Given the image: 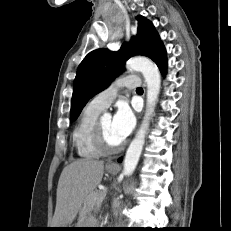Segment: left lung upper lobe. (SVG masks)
Here are the masks:
<instances>
[{
    "instance_id": "obj_1",
    "label": "left lung upper lobe",
    "mask_w": 231,
    "mask_h": 231,
    "mask_svg": "<svg viewBox=\"0 0 231 231\" xmlns=\"http://www.w3.org/2000/svg\"><path fill=\"white\" fill-rule=\"evenodd\" d=\"M136 19L137 35L127 44L124 43L119 51L96 49L87 54L80 63L73 84L71 121L76 120L90 98L105 89L123 70L127 59L135 55H144L152 59L162 46L152 23L140 15Z\"/></svg>"
}]
</instances>
